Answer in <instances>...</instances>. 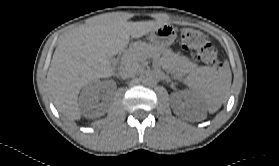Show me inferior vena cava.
<instances>
[{"label": "inferior vena cava", "mask_w": 279, "mask_h": 166, "mask_svg": "<svg viewBox=\"0 0 279 166\" xmlns=\"http://www.w3.org/2000/svg\"><path fill=\"white\" fill-rule=\"evenodd\" d=\"M136 74V70L134 68H123L120 72H119V76L122 79H127V78H131L133 76H135Z\"/></svg>", "instance_id": "1"}]
</instances>
